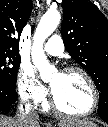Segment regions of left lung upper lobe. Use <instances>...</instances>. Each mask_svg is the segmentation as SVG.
<instances>
[{
    "label": "left lung upper lobe",
    "instance_id": "5c2ea615",
    "mask_svg": "<svg viewBox=\"0 0 108 127\" xmlns=\"http://www.w3.org/2000/svg\"><path fill=\"white\" fill-rule=\"evenodd\" d=\"M62 38L68 53L90 74L108 110V20L87 0H63Z\"/></svg>",
    "mask_w": 108,
    "mask_h": 127
}]
</instances>
